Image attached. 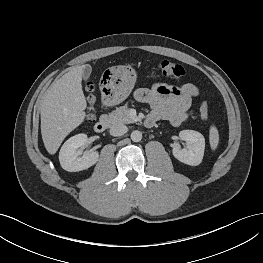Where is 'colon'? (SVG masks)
<instances>
[{"label":"colon","mask_w":263,"mask_h":263,"mask_svg":"<svg viewBox=\"0 0 263 263\" xmlns=\"http://www.w3.org/2000/svg\"><path fill=\"white\" fill-rule=\"evenodd\" d=\"M158 69L161 75L165 77L180 79L185 75V70L181 65L171 62L169 60L161 61L158 65ZM93 89L94 86L92 84L87 85L88 92L91 93ZM90 103H93V99L90 100ZM200 115L204 120H207L209 118V110L205 102H202L200 105ZM88 119L90 121H93L95 119V115L93 113H90L88 115Z\"/></svg>","instance_id":"1"}]
</instances>
